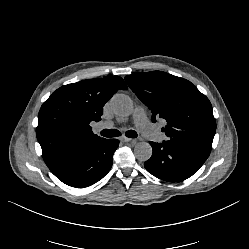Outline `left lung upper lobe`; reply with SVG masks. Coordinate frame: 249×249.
<instances>
[{
    "instance_id": "obj_1",
    "label": "left lung upper lobe",
    "mask_w": 249,
    "mask_h": 249,
    "mask_svg": "<svg viewBox=\"0 0 249 249\" xmlns=\"http://www.w3.org/2000/svg\"><path fill=\"white\" fill-rule=\"evenodd\" d=\"M125 81L151 110L152 122L166 120L165 142L211 152L216 121L210 101L195 85L161 71L129 75Z\"/></svg>"
}]
</instances>
